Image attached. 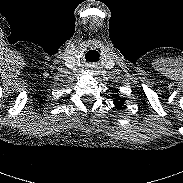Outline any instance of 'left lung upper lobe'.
Segmentation results:
<instances>
[{
  "mask_svg": "<svg viewBox=\"0 0 183 183\" xmlns=\"http://www.w3.org/2000/svg\"><path fill=\"white\" fill-rule=\"evenodd\" d=\"M124 102H125V99H118V98L114 99L115 107L117 109H123Z\"/></svg>",
  "mask_w": 183,
  "mask_h": 183,
  "instance_id": "1",
  "label": "left lung upper lobe"
}]
</instances>
